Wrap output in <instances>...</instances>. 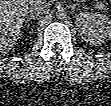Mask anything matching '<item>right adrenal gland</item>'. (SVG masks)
Masks as SVG:
<instances>
[{"mask_svg":"<svg viewBox=\"0 0 111 106\" xmlns=\"http://www.w3.org/2000/svg\"><path fill=\"white\" fill-rule=\"evenodd\" d=\"M31 19H38V16L30 14L26 17L25 23L27 24Z\"/></svg>","mask_w":111,"mask_h":106,"instance_id":"2a0ac1e0","label":"right adrenal gland"}]
</instances>
